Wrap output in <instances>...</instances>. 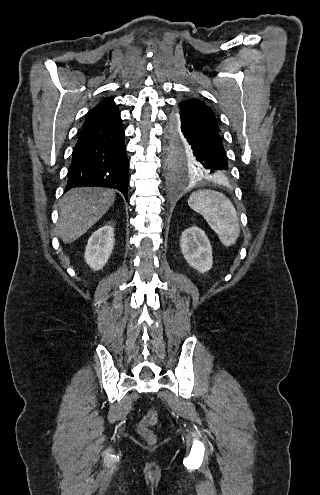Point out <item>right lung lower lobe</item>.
Returning a JSON list of instances; mask_svg holds the SVG:
<instances>
[{"mask_svg": "<svg viewBox=\"0 0 320 495\" xmlns=\"http://www.w3.org/2000/svg\"><path fill=\"white\" fill-rule=\"evenodd\" d=\"M122 120L83 128L72 154L65 192L79 186L109 187L127 199L128 159Z\"/></svg>", "mask_w": 320, "mask_h": 495, "instance_id": "98d812e1", "label": "right lung lower lobe"}]
</instances>
